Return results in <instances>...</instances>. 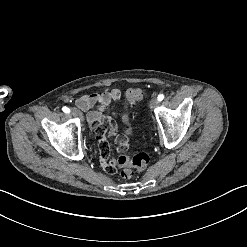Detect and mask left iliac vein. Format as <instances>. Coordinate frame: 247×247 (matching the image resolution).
Returning a JSON list of instances; mask_svg holds the SVG:
<instances>
[{
  "label": "left iliac vein",
  "mask_w": 247,
  "mask_h": 247,
  "mask_svg": "<svg viewBox=\"0 0 247 247\" xmlns=\"http://www.w3.org/2000/svg\"><path fill=\"white\" fill-rule=\"evenodd\" d=\"M158 102L155 97H152L150 100L149 108L153 110L157 106Z\"/></svg>",
  "instance_id": "obj_1"
}]
</instances>
